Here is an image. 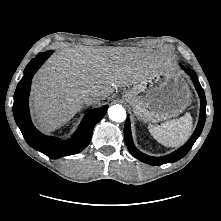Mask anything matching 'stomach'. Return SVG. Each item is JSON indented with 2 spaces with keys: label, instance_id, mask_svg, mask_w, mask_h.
<instances>
[{
  "label": "stomach",
  "instance_id": "0dacf381",
  "mask_svg": "<svg viewBox=\"0 0 221 221\" xmlns=\"http://www.w3.org/2000/svg\"><path fill=\"white\" fill-rule=\"evenodd\" d=\"M122 98L143 122H159L178 116L189 105L190 91L175 71L164 68L126 90Z\"/></svg>",
  "mask_w": 221,
  "mask_h": 221
}]
</instances>
